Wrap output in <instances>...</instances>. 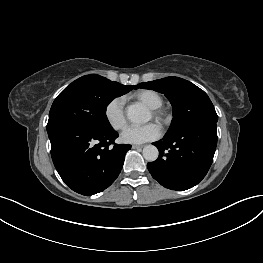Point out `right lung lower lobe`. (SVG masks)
Here are the masks:
<instances>
[{
    "mask_svg": "<svg viewBox=\"0 0 263 263\" xmlns=\"http://www.w3.org/2000/svg\"><path fill=\"white\" fill-rule=\"evenodd\" d=\"M48 132L51 156L62 180L75 192L94 195L118 177L129 144H114L112 128L100 130L84 125H60ZM114 144L113 147H109Z\"/></svg>",
    "mask_w": 263,
    "mask_h": 263,
    "instance_id": "1",
    "label": "right lung lower lobe"
}]
</instances>
